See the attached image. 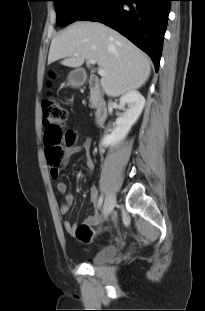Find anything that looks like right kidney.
<instances>
[{
    "label": "right kidney",
    "mask_w": 205,
    "mask_h": 311,
    "mask_svg": "<svg viewBox=\"0 0 205 311\" xmlns=\"http://www.w3.org/2000/svg\"><path fill=\"white\" fill-rule=\"evenodd\" d=\"M126 104H128L129 108L122 116L117 118L114 130L109 135L104 136L103 146H114L124 140L142 113L145 98L138 91H129L120 98V108H123Z\"/></svg>",
    "instance_id": "1"
}]
</instances>
